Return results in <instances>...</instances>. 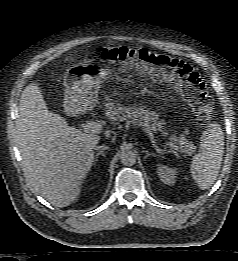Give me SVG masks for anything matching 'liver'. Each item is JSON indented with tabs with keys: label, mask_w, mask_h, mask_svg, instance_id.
Masks as SVG:
<instances>
[{
	"label": "liver",
	"mask_w": 238,
	"mask_h": 261,
	"mask_svg": "<svg viewBox=\"0 0 238 261\" xmlns=\"http://www.w3.org/2000/svg\"><path fill=\"white\" fill-rule=\"evenodd\" d=\"M16 129L30 188L56 207L76 201L100 137L68 126L63 117L50 112L36 83L22 92Z\"/></svg>",
	"instance_id": "liver-1"
}]
</instances>
